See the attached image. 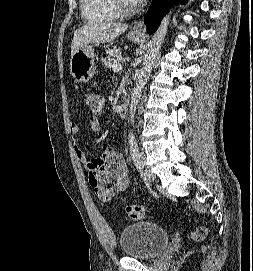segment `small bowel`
I'll return each instance as SVG.
<instances>
[{"label":"small bowel","mask_w":253,"mask_h":271,"mask_svg":"<svg viewBox=\"0 0 253 271\" xmlns=\"http://www.w3.org/2000/svg\"><path fill=\"white\" fill-rule=\"evenodd\" d=\"M91 134H97L101 130L98 118L92 117L88 125ZM69 134L76 143L79 128L76 124L69 125ZM77 158L83 163L88 181L95 195L101 201H109L119 193L124 192L130 183L128 167L124 156L116 149L107 147L100 156L89 159L86 153L75 144Z\"/></svg>","instance_id":"c3829d8e"}]
</instances>
